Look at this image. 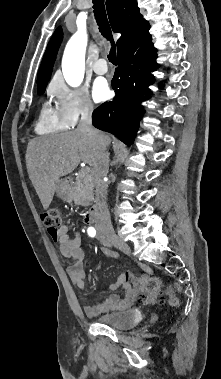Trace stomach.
<instances>
[{
    "label": "stomach",
    "mask_w": 221,
    "mask_h": 379,
    "mask_svg": "<svg viewBox=\"0 0 221 379\" xmlns=\"http://www.w3.org/2000/svg\"><path fill=\"white\" fill-rule=\"evenodd\" d=\"M56 191L58 196L64 200L71 198V187L67 179H61L58 181Z\"/></svg>",
    "instance_id": "obj_1"
}]
</instances>
